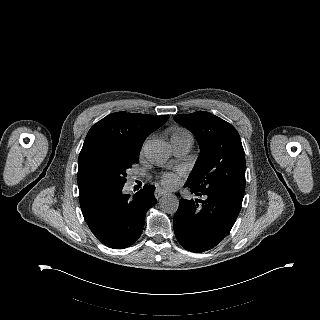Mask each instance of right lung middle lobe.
<instances>
[{
    "mask_svg": "<svg viewBox=\"0 0 320 320\" xmlns=\"http://www.w3.org/2000/svg\"><path fill=\"white\" fill-rule=\"evenodd\" d=\"M139 161V152H104L97 155L89 166L94 179L125 184L127 169Z\"/></svg>",
    "mask_w": 320,
    "mask_h": 320,
    "instance_id": "right-lung-middle-lobe-1",
    "label": "right lung middle lobe"
}]
</instances>
